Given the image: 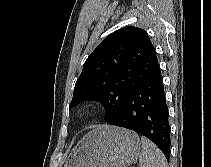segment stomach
Instances as JSON below:
<instances>
[{
  "label": "stomach",
  "instance_id": "stomach-1",
  "mask_svg": "<svg viewBox=\"0 0 211 167\" xmlns=\"http://www.w3.org/2000/svg\"><path fill=\"white\" fill-rule=\"evenodd\" d=\"M140 150L137 133L116 126H101L82 138L69 153L64 167H128Z\"/></svg>",
  "mask_w": 211,
  "mask_h": 167
}]
</instances>
